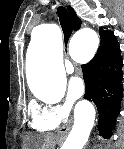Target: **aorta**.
<instances>
[{
  "label": "aorta",
  "mask_w": 124,
  "mask_h": 149,
  "mask_svg": "<svg viewBox=\"0 0 124 149\" xmlns=\"http://www.w3.org/2000/svg\"><path fill=\"white\" fill-rule=\"evenodd\" d=\"M99 44L97 33L91 28L77 31L70 41L72 51L92 54ZM31 48L37 57L29 74L31 92L44 101H57L62 98L66 88V74L61 55V33L55 24L38 27L37 37ZM74 125L62 149H83L88 141L95 121V109L89 101L77 104Z\"/></svg>",
  "instance_id": "obj_1"
}]
</instances>
